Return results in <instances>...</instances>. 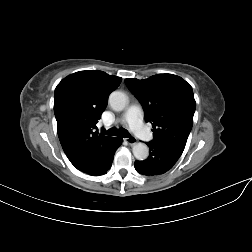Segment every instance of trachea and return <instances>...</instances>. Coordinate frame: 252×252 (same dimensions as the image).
<instances>
[{
    "label": "trachea",
    "mask_w": 252,
    "mask_h": 252,
    "mask_svg": "<svg viewBox=\"0 0 252 252\" xmlns=\"http://www.w3.org/2000/svg\"><path fill=\"white\" fill-rule=\"evenodd\" d=\"M105 135H110V136H120L123 138H128L130 134L128 131L124 128L117 129L115 127L110 128L108 131L105 132Z\"/></svg>",
    "instance_id": "trachea-1"
}]
</instances>
